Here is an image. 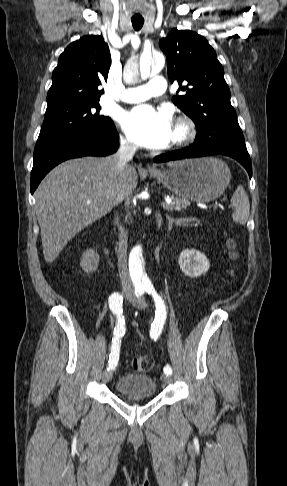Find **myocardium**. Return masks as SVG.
<instances>
[{
	"mask_svg": "<svg viewBox=\"0 0 287 486\" xmlns=\"http://www.w3.org/2000/svg\"><path fill=\"white\" fill-rule=\"evenodd\" d=\"M176 134L172 138V147L179 148L190 144L196 137L195 123L187 116H180L175 122Z\"/></svg>",
	"mask_w": 287,
	"mask_h": 486,
	"instance_id": "1",
	"label": "myocardium"
}]
</instances>
